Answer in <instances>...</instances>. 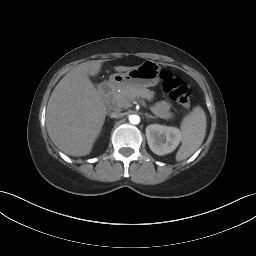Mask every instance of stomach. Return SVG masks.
I'll use <instances>...</instances> for the list:
<instances>
[{"label":"stomach","mask_w":256,"mask_h":256,"mask_svg":"<svg viewBox=\"0 0 256 256\" xmlns=\"http://www.w3.org/2000/svg\"><path fill=\"white\" fill-rule=\"evenodd\" d=\"M160 65L152 60H147L135 69L126 73H115L109 78V83L115 88L127 87H153L160 81Z\"/></svg>","instance_id":"stomach-1"}]
</instances>
